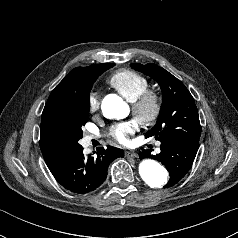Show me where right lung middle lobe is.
I'll return each mask as SVG.
<instances>
[{"instance_id": "obj_1", "label": "right lung middle lobe", "mask_w": 238, "mask_h": 238, "mask_svg": "<svg viewBox=\"0 0 238 238\" xmlns=\"http://www.w3.org/2000/svg\"><path fill=\"white\" fill-rule=\"evenodd\" d=\"M113 66V63L96 64L80 75L67 95L42 114L44 131L71 149L78 148L83 134L82 126L86 124L90 110L89 92L98 76Z\"/></svg>"}]
</instances>
